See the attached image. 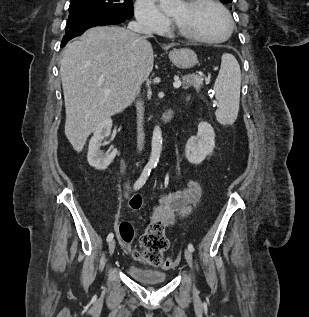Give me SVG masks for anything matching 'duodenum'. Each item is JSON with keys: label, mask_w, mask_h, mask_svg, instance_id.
<instances>
[{"label": "duodenum", "mask_w": 309, "mask_h": 317, "mask_svg": "<svg viewBox=\"0 0 309 317\" xmlns=\"http://www.w3.org/2000/svg\"><path fill=\"white\" fill-rule=\"evenodd\" d=\"M171 111H167V112H165L164 113V115L162 116V118H161V122L162 123H167V122H169V120L171 119Z\"/></svg>", "instance_id": "410a0bca"}]
</instances>
